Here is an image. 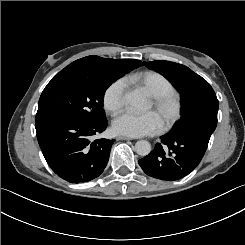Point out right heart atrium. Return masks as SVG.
I'll return each instance as SVG.
<instances>
[{
  "label": "right heart atrium",
  "mask_w": 245,
  "mask_h": 245,
  "mask_svg": "<svg viewBox=\"0 0 245 245\" xmlns=\"http://www.w3.org/2000/svg\"><path fill=\"white\" fill-rule=\"evenodd\" d=\"M125 84L121 79L113 81L105 90L103 104L107 111L118 112L123 105Z\"/></svg>",
  "instance_id": "1"
}]
</instances>
